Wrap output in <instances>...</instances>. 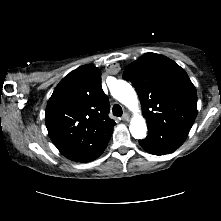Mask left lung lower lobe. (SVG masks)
<instances>
[{
    "mask_svg": "<svg viewBox=\"0 0 221 221\" xmlns=\"http://www.w3.org/2000/svg\"><path fill=\"white\" fill-rule=\"evenodd\" d=\"M148 130V136L143 140H139V143L146 151L154 155L174 152L182 145L189 132L152 125H148Z\"/></svg>",
    "mask_w": 221,
    "mask_h": 221,
    "instance_id": "0a47b994",
    "label": "left lung lower lobe"
}]
</instances>
